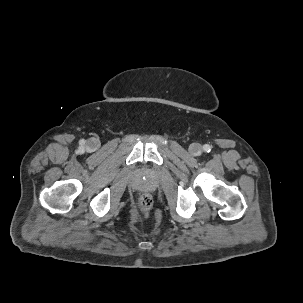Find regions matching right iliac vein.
Listing matches in <instances>:
<instances>
[{
    "instance_id": "63e3f726",
    "label": "right iliac vein",
    "mask_w": 303,
    "mask_h": 303,
    "mask_svg": "<svg viewBox=\"0 0 303 303\" xmlns=\"http://www.w3.org/2000/svg\"><path fill=\"white\" fill-rule=\"evenodd\" d=\"M88 146L91 148V149H97L99 147V142L97 139H91L88 141Z\"/></svg>"
}]
</instances>
